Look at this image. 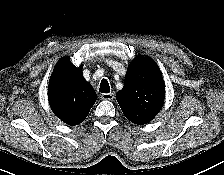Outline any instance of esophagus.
<instances>
[{"label":"esophagus","mask_w":224,"mask_h":175,"mask_svg":"<svg viewBox=\"0 0 224 175\" xmlns=\"http://www.w3.org/2000/svg\"><path fill=\"white\" fill-rule=\"evenodd\" d=\"M101 98L103 100H113L114 99V93H103L101 95Z\"/></svg>","instance_id":"obj_1"}]
</instances>
